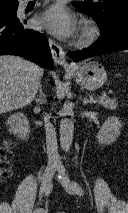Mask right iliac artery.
<instances>
[{"label":"right iliac artery","mask_w":128,"mask_h":213,"mask_svg":"<svg viewBox=\"0 0 128 213\" xmlns=\"http://www.w3.org/2000/svg\"><path fill=\"white\" fill-rule=\"evenodd\" d=\"M51 187H52V184L50 183V186H49V189H48V191H47V194L50 193ZM39 213H40V211H39ZM42 213H43V212H42Z\"/></svg>","instance_id":"82829eb1"}]
</instances>
